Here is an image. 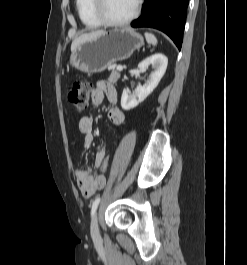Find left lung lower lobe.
<instances>
[{"instance_id": "0a47b994", "label": "left lung lower lobe", "mask_w": 247, "mask_h": 265, "mask_svg": "<svg viewBox=\"0 0 247 265\" xmlns=\"http://www.w3.org/2000/svg\"><path fill=\"white\" fill-rule=\"evenodd\" d=\"M189 0H145L132 27H151L166 33L181 49Z\"/></svg>"}]
</instances>
